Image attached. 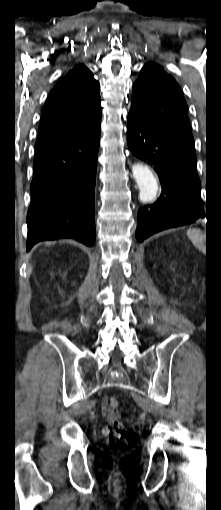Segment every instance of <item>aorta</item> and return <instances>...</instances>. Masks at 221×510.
<instances>
[{"label": "aorta", "mask_w": 221, "mask_h": 510, "mask_svg": "<svg viewBox=\"0 0 221 510\" xmlns=\"http://www.w3.org/2000/svg\"><path fill=\"white\" fill-rule=\"evenodd\" d=\"M133 176L139 188V199L141 202L152 201L158 191V183L152 171L143 164H135L132 167Z\"/></svg>", "instance_id": "1"}]
</instances>
